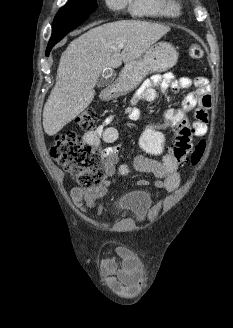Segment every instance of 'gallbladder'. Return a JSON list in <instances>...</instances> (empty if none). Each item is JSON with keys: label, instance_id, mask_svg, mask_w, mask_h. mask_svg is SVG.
<instances>
[{"label": "gallbladder", "instance_id": "bac80fb5", "mask_svg": "<svg viewBox=\"0 0 233 328\" xmlns=\"http://www.w3.org/2000/svg\"><path fill=\"white\" fill-rule=\"evenodd\" d=\"M110 83L109 78H105L104 76H100L97 81V86L104 87Z\"/></svg>", "mask_w": 233, "mask_h": 328}]
</instances>
